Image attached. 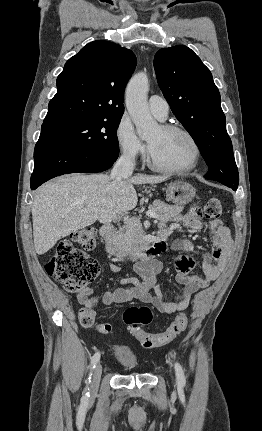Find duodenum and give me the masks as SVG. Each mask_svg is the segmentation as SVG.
<instances>
[{
    "label": "duodenum",
    "mask_w": 262,
    "mask_h": 431,
    "mask_svg": "<svg viewBox=\"0 0 262 431\" xmlns=\"http://www.w3.org/2000/svg\"><path fill=\"white\" fill-rule=\"evenodd\" d=\"M100 235L105 244V249L108 253L118 255V257L125 262L133 259L130 255L124 252H120L118 250V242L115 234V228L112 224L110 223L103 224L100 228ZM156 246L161 247V243H156L155 247Z\"/></svg>",
    "instance_id": "obj_1"
}]
</instances>
